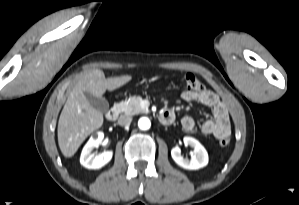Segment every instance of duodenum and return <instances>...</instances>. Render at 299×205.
Returning a JSON list of instances; mask_svg holds the SVG:
<instances>
[{
  "label": "duodenum",
  "instance_id": "1",
  "mask_svg": "<svg viewBox=\"0 0 299 205\" xmlns=\"http://www.w3.org/2000/svg\"><path fill=\"white\" fill-rule=\"evenodd\" d=\"M119 115V108L112 107L106 114V117L109 121H115ZM160 121L163 124H170L174 120V116L170 112H161L159 116Z\"/></svg>",
  "mask_w": 299,
  "mask_h": 205
}]
</instances>
